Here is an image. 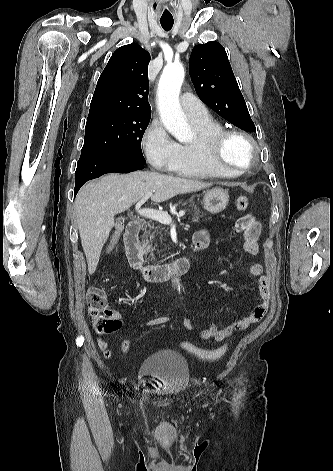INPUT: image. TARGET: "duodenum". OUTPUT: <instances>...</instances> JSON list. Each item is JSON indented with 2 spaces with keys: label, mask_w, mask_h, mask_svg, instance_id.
I'll return each mask as SVG.
<instances>
[{
  "label": "duodenum",
  "mask_w": 333,
  "mask_h": 471,
  "mask_svg": "<svg viewBox=\"0 0 333 471\" xmlns=\"http://www.w3.org/2000/svg\"><path fill=\"white\" fill-rule=\"evenodd\" d=\"M142 224L138 220L131 221L125 231L124 244L130 266L141 272L143 278L150 283H159L172 276L188 272L192 266V258L185 256L163 265H151L144 262L139 243Z\"/></svg>",
  "instance_id": "duodenum-1"
}]
</instances>
